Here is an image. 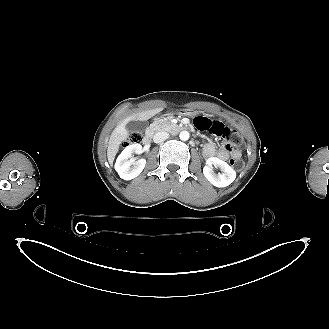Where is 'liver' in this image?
I'll return each instance as SVG.
<instances>
[{"instance_id": "1", "label": "liver", "mask_w": 329, "mask_h": 329, "mask_svg": "<svg viewBox=\"0 0 329 329\" xmlns=\"http://www.w3.org/2000/svg\"><path fill=\"white\" fill-rule=\"evenodd\" d=\"M163 107L146 110L143 112L134 113L124 118L113 130L110 135L108 147H107V158L110 165L113 164L115 156L119 150L120 144L129 137V132L126 129V124L132 120L147 121L157 113L161 112Z\"/></svg>"}]
</instances>
